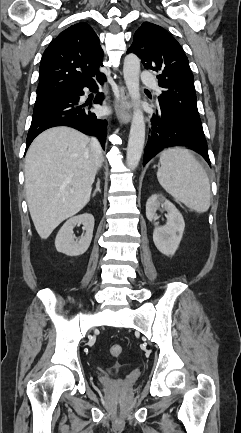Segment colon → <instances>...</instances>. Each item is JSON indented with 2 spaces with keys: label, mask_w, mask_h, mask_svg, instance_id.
<instances>
[{
  "label": "colon",
  "mask_w": 241,
  "mask_h": 433,
  "mask_svg": "<svg viewBox=\"0 0 241 433\" xmlns=\"http://www.w3.org/2000/svg\"><path fill=\"white\" fill-rule=\"evenodd\" d=\"M109 353L113 358H118L123 354V348L120 345H113L110 347Z\"/></svg>",
  "instance_id": "obj_1"
}]
</instances>
